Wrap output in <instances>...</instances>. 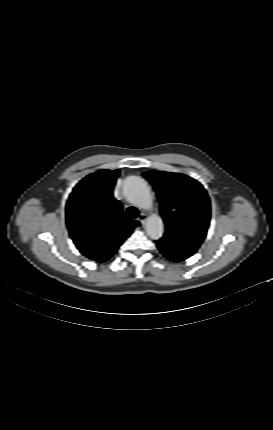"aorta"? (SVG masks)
<instances>
[{"mask_svg":"<svg viewBox=\"0 0 273 430\" xmlns=\"http://www.w3.org/2000/svg\"><path fill=\"white\" fill-rule=\"evenodd\" d=\"M124 192L127 199L137 207L144 210L152 209L153 200L151 191L147 183L142 178L137 176L127 178L124 185ZM146 231L153 240L161 238L164 233L162 218L157 214H152L148 218Z\"/></svg>","mask_w":273,"mask_h":430,"instance_id":"obj_1","label":"aorta"}]
</instances>
